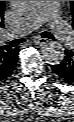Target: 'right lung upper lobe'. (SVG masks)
Here are the masks:
<instances>
[{"instance_id": "1", "label": "right lung upper lobe", "mask_w": 74, "mask_h": 122, "mask_svg": "<svg viewBox=\"0 0 74 122\" xmlns=\"http://www.w3.org/2000/svg\"><path fill=\"white\" fill-rule=\"evenodd\" d=\"M4 1H0V29L4 27ZM17 48L13 49L10 46H0V66L6 67L12 60Z\"/></svg>"}]
</instances>
